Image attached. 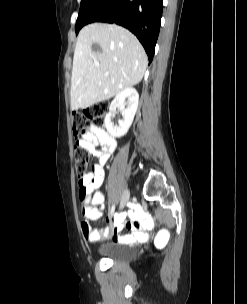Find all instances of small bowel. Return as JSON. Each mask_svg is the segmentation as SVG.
I'll return each instance as SVG.
<instances>
[{
	"instance_id": "small-bowel-1",
	"label": "small bowel",
	"mask_w": 247,
	"mask_h": 304,
	"mask_svg": "<svg viewBox=\"0 0 247 304\" xmlns=\"http://www.w3.org/2000/svg\"><path fill=\"white\" fill-rule=\"evenodd\" d=\"M80 144L89 154L97 158L90 172L84 175L79 184L84 190V200L80 201L83 215L87 220H99L102 217L104 193L100 189L104 181V167L114 153L117 142L103 128L93 126L81 138ZM100 146L98 149L97 147ZM83 237L88 242H97L103 238L112 237L119 243L144 242L147 230L152 227V219L146 216L140 208H135L129 215V220L111 217L106 225L98 230L92 229L87 222L82 225ZM129 229V234H123Z\"/></svg>"
}]
</instances>
